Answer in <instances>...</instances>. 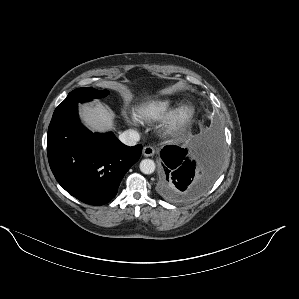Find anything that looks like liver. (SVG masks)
I'll use <instances>...</instances> for the list:
<instances>
[{
    "label": "liver",
    "mask_w": 299,
    "mask_h": 299,
    "mask_svg": "<svg viewBox=\"0 0 299 299\" xmlns=\"http://www.w3.org/2000/svg\"><path fill=\"white\" fill-rule=\"evenodd\" d=\"M80 116L85 125L93 132L105 133L114 129L113 114L100 102L82 104Z\"/></svg>",
    "instance_id": "liver-1"
}]
</instances>
